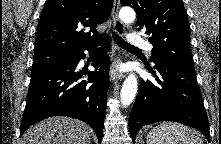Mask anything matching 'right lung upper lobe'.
Wrapping results in <instances>:
<instances>
[{
  "label": "right lung upper lobe",
  "instance_id": "obj_1",
  "mask_svg": "<svg viewBox=\"0 0 221 144\" xmlns=\"http://www.w3.org/2000/svg\"><path fill=\"white\" fill-rule=\"evenodd\" d=\"M113 0H48L38 24L35 53L73 54L97 42L96 27L111 13Z\"/></svg>",
  "mask_w": 221,
  "mask_h": 144
}]
</instances>
